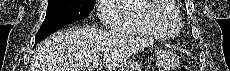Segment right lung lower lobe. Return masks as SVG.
<instances>
[{"mask_svg": "<svg viewBox=\"0 0 230 71\" xmlns=\"http://www.w3.org/2000/svg\"><path fill=\"white\" fill-rule=\"evenodd\" d=\"M74 22H76V21L64 22V23H59V24H55V25H51V26H42L35 36V45H36V43H39L40 41H42L43 39L48 37L53 32L61 29L62 27H64L67 24H71Z\"/></svg>", "mask_w": 230, "mask_h": 71, "instance_id": "98d812e1", "label": "right lung lower lobe"}]
</instances>
